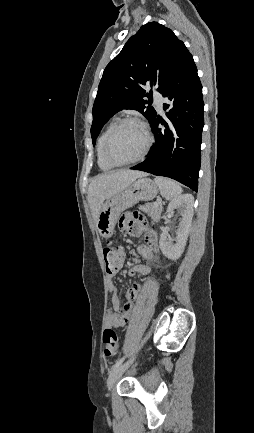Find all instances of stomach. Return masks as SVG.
Segmentation results:
<instances>
[{
  "label": "stomach",
  "mask_w": 254,
  "mask_h": 433,
  "mask_svg": "<svg viewBox=\"0 0 254 433\" xmlns=\"http://www.w3.org/2000/svg\"><path fill=\"white\" fill-rule=\"evenodd\" d=\"M158 186L149 178L142 177L112 196L103 205L96 227L102 238L108 239L113 235L115 225L120 214L137 204L139 201H150L156 197Z\"/></svg>",
  "instance_id": "1"
}]
</instances>
